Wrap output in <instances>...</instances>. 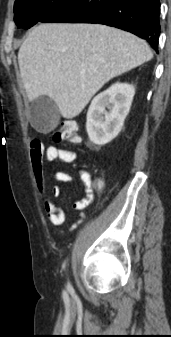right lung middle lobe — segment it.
Instances as JSON below:
<instances>
[{
    "label": "right lung middle lobe",
    "mask_w": 171,
    "mask_h": 337,
    "mask_svg": "<svg viewBox=\"0 0 171 337\" xmlns=\"http://www.w3.org/2000/svg\"><path fill=\"white\" fill-rule=\"evenodd\" d=\"M67 0H16L15 23L18 28L28 29L43 21Z\"/></svg>",
    "instance_id": "obj_1"
}]
</instances>
